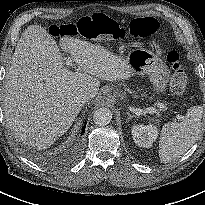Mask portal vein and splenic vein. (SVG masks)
<instances>
[{"label": "portal vein and splenic vein", "mask_w": 205, "mask_h": 205, "mask_svg": "<svg viewBox=\"0 0 205 205\" xmlns=\"http://www.w3.org/2000/svg\"><path fill=\"white\" fill-rule=\"evenodd\" d=\"M72 59L70 58V57H68V58H66V65H68V66H72ZM161 107L162 108H164V105H161ZM144 112L145 113H149V114H157V110L156 109H154V108H146L145 110H144ZM177 118H179V119H181L182 118V116H177Z\"/></svg>", "instance_id": "portal-vein-and-splenic-vein-1"}]
</instances>
